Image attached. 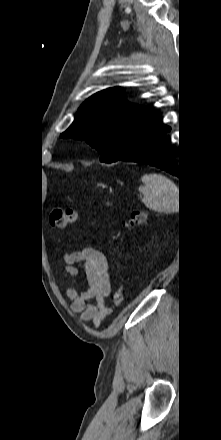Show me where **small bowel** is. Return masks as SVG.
Here are the masks:
<instances>
[{"instance_id": "1", "label": "small bowel", "mask_w": 221, "mask_h": 440, "mask_svg": "<svg viewBox=\"0 0 221 440\" xmlns=\"http://www.w3.org/2000/svg\"><path fill=\"white\" fill-rule=\"evenodd\" d=\"M64 270L73 277H80L81 271L74 266L81 263L86 279V287L80 291L69 288L66 296L71 300L70 308L80 313L84 321L97 326L110 314V307L105 299L111 292L109 261L107 256L95 248H85L64 256Z\"/></svg>"}]
</instances>
